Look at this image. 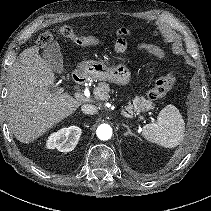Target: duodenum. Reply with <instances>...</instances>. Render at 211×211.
<instances>
[{
    "instance_id": "1",
    "label": "duodenum",
    "mask_w": 211,
    "mask_h": 211,
    "mask_svg": "<svg viewBox=\"0 0 211 211\" xmlns=\"http://www.w3.org/2000/svg\"><path fill=\"white\" fill-rule=\"evenodd\" d=\"M76 80H78L79 82H83V78L79 77V76H75Z\"/></svg>"
}]
</instances>
